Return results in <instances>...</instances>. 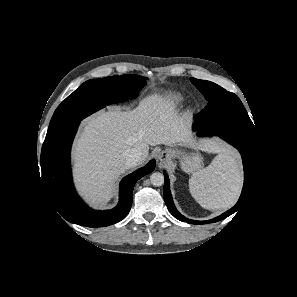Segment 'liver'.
Here are the masks:
<instances>
[{
	"mask_svg": "<svg viewBox=\"0 0 297 297\" xmlns=\"http://www.w3.org/2000/svg\"><path fill=\"white\" fill-rule=\"evenodd\" d=\"M196 148L192 131L163 97L144 98L132 111L117 107L100 111L83 124L74 149L76 187L92 205H105L111 198L115 181L127 168L125 159L132 149H140L144 160L149 146ZM214 151L213 146H208Z\"/></svg>",
	"mask_w": 297,
	"mask_h": 297,
	"instance_id": "6515ba94",
	"label": "liver"
}]
</instances>
